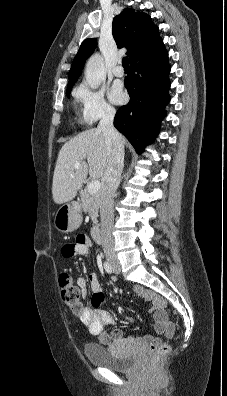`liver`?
Wrapping results in <instances>:
<instances>
[{
  "label": "liver",
  "instance_id": "1",
  "mask_svg": "<svg viewBox=\"0 0 227 396\" xmlns=\"http://www.w3.org/2000/svg\"><path fill=\"white\" fill-rule=\"evenodd\" d=\"M120 138L124 148L126 139L122 135ZM108 159L106 140L98 129L83 131L67 141L59 151L54 170L52 184L54 202L63 204L73 200L88 173L92 178H101ZM76 163L81 164L78 169L74 167Z\"/></svg>",
  "mask_w": 227,
  "mask_h": 396
}]
</instances>
